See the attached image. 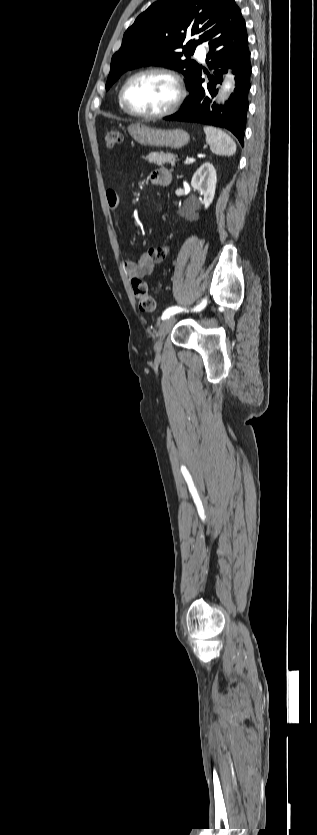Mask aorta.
<instances>
[{"label":"aorta","instance_id":"762f6f07","mask_svg":"<svg viewBox=\"0 0 317 835\" xmlns=\"http://www.w3.org/2000/svg\"><path fill=\"white\" fill-rule=\"evenodd\" d=\"M230 87H231V83H230L229 81H227V82L224 84V90H225V91H227V90L229 91ZM224 100H225V98H223V99H222V101H224Z\"/></svg>","mask_w":317,"mask_h":835}]
</instances>
